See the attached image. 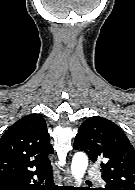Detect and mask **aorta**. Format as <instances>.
Segmentation results:
<instances>
[{"label": "aorta", "mask_w": 135, "mask_h": 190, "mask_svg": "<svg viewBox=\"0 0 135 190\" xmlns=\"http://www.w3.org/2000/svg\"><path fill=\"white\" fill-rule=\"evenodd\" d=\"M88 166V157L83 152H77L72 160L71 173L76 184L80 185Z\"/></svg>", "instance_id": "obj_1"}]
</instances>
